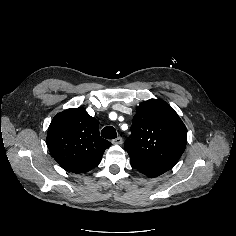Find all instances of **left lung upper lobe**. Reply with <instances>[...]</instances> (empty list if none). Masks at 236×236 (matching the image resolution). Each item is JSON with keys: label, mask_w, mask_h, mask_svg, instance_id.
I'll return each instance as SVG.
<instances>
[{"label": "left lung upper lobe", "mask_w": 236, "mask_h": 236, "mask_svg": "<svg viewBox=\"0 0 236 236\" xmlns=\"http://www.w3.org/2000/svg\"><path fill=\"white\" fill-rule=\"evenodd\" d=\"M187 143V129L175 110L160 99H150L137 107L131 139L124 143L131 165L150 178L170 170Z\"/></svg>", "instance_id": "5c2ea615"}]
</instances>
